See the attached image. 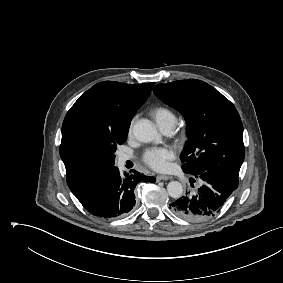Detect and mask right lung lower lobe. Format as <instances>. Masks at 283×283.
I'll return each mask as SVG.
<instances>
[{
	"label": "right lung lower lobe",
	"mask_w": 283,
	"mask_h": 283,
	"mask_svg": "<svg viewBox=\"0 0 283 283\" xmlns=\"http://www.w3.org/2000/svg\"><path fill=\"white\" fill-rule=\"evenodd\" d=\"M141 181L154 183L156 179L135 170L122 176L114 166L73 194L91 214L106 219L117 218L126 215L135 205L134 190Z\"/></svg>",
	"instance_id": "right-lung-lower-lobe-1"
}]
</instances>
